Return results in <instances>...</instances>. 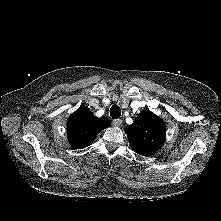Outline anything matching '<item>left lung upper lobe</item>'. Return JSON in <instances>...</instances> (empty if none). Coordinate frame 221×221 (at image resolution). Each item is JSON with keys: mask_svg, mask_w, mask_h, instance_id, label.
<instances>
[{"mask_svg": "<svg viewBox=\"0 0 221 221\" xmlns=\"http://www.w3.org/2000/svg\"><path fill=\"white\" fill-rule=\"evenodd\" d=\"M132 149L140 155L150 156L158 151L165 141V123L149 109L144 110L125 127Z\"/></svg>", "mask_w": 221, "mask_h": 221, "instance_id": "5c2ea615", "label": "left lung upper lobe"}]
</instances>
